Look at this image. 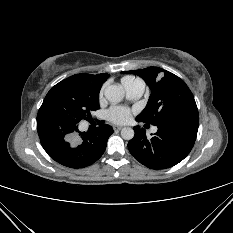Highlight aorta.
<instances>
[{"label":"aorta","instance_id":"aorta-1","mask_svg":"<svg viewBox=\"0 0 233 233\" xmlns=\"http://www.w3.org/2000/svg\"><path fill=\"white\" fill-rule=\"evenodd\" d=\"M105 98L111 103H119L124 98V90L121 86L110 85L104 91ZM121 136L125 140H131L134 137V130L130 127H124L121 130Z\"/></svg>","mask_w":233,"mask_h":233}]
</instances>
